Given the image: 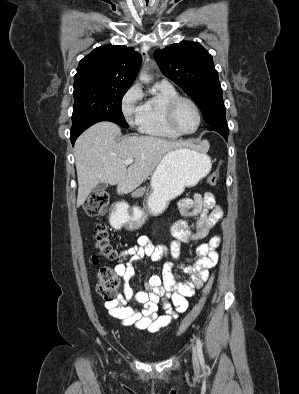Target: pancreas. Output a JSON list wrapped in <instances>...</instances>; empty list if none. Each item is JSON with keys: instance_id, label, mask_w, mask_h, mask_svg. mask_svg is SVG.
Wrapping results in <instances>:
<instances>
[{"instance_id": "1", "label": "pancreas", "mask_w": 299, "mask_h": 394, "mask_svg": "<svg viewBox=\"0 0 299 394\" xmlns=\"http://www.w3.org/2000/svg\"><path fill=\"white\" fill-rule=\"evenodd\" d=\"M145 189H141L140 191H138V194L142 195L144 193Z\"/></svg>"}]
</instances>
